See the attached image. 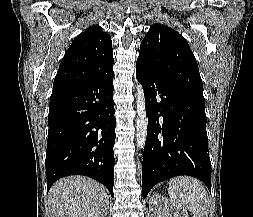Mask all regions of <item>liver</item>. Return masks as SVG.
<instances>
[{
  "instance_id": "liver-1",
  "label": "liver",
  "mask_w": 253,
  "mask_h": 217,
  "mask_svg": "<svg viewBox=\"0 0 253 217\" xmlns=\"http://www.w3.org/2000/svg\"><path fill=\"white\" fill-rule=\"evenodd\" d=\"M52 217H106L109 196L99 182L85 176L58 180L49 191Z\"/></svg>"
}]
</instances>
